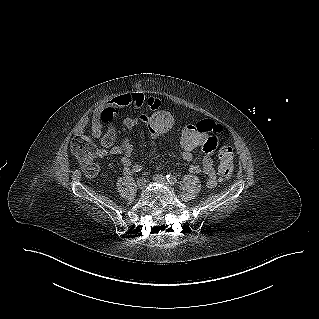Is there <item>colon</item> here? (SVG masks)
<instances>
[{"instance_id": "1", "label": "colon", "mask_w": 319, "mask_h": 319, "mask_svg": "<svg viewBox=\"0 0 319 319\" xmlns=\"http://www.w3.org/2000/svg\"><path fill=\"white\" fill-rule=\"evenodd\" d=\"M176 123V114L171 113H152L149 114V129L156 136L167 135ZM222 129L218 123L205 116H198L194 124L184 126L177 133V142L182 153L191 155L196 151H203L205 141L210 138L215 129ZM73 154L83 165L84 172L89 177H94L98 172L95 159L99 155L97 147L92 145L87 137H76L71 144ZM220 160L219 171L224 177H229L234 168V153L230 146L222 145L218 151Z\"/></svg>"}]
</instances>
